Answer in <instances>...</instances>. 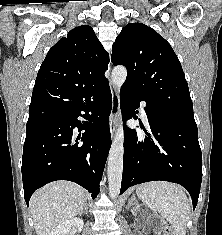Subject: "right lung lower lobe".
<instances>
[{
  "mask_svg": "<svg viewBox=\"0 0 222 235\" xmlns=\"http://www.w3.org/2000/svg\"><path fill=\"white\" fill-rule=\"evenodd\" d=\"M39 95L50 102L52 111L47 123L26 131L21 170L27 205L36 189L56 180L73 181L95 198L111 146L108 80L62 98L52 89ZM79 116L86 121H79Z\"/></svg>",
  "mask_w": 222,
  "mask_h": 235,
  "instance_id": "obj_1",
  "label": "right lung lower lobe"
}]
</instances>
